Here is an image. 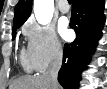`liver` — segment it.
<instances>
[{
  "label": "liver",
  "instance_id": "1",
  "mask_svg": "<svg viewBox=\"0 0 107 89\" xmlns=\"http://www.w3.org/2000/svg\"><path fill=\"white\" fill-rule=\"evenodd\" d=\"M9 89H52V86L42 74L20 77L12 82ZM57 89H59V85Z\"/></svg>",
  "mask_w": 107,
  "mask_h": 89
}]
</instances>
